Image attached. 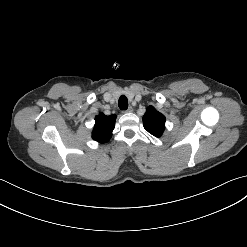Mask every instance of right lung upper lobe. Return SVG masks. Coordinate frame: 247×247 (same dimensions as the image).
Masks as SVG:
<instances>
[{
	"mask_svg": "<svg viewBox=\"0 0 247 247\" xmlns=\"http://www.w3.org/2000/svg\"><path fill=\"white\" fill-rule=\"evenodd\" d=\"M116 115L106 116L100 113L95 117V126L92 132V138L100 143H106L112 136L115 127Z\"/></svg>",
	"mask_w": 247,
	"mask_h": 247,
	"instance_id": "1",
	"label": "right lung upper lobe"
}]
</instances>
